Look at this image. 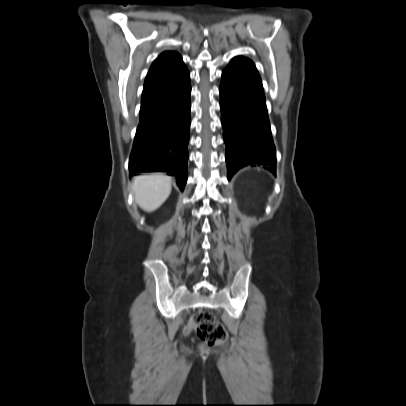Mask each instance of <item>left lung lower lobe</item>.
Returning <instances> with one entry per match:
<instances>
[{
  "mask_svg": "<svg viewBox=\"0 0 406 406\" xmlns=\"http://www.w3.org/2000/svg\"><path fill=\"white\" fill-rule=\"evenodd\" d=\"M219 90L228 179L251 163L275 166L263 86L254 63L233 58L223 71ZM266 169L275 175V167Z\"/></svg>",
  "mask_w": 406,
  "mask_h": 406,
  "instance_id": "obj_1",
  "label": "left lung lower lobe"
}]
</instances>
